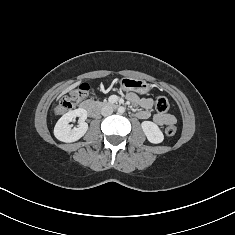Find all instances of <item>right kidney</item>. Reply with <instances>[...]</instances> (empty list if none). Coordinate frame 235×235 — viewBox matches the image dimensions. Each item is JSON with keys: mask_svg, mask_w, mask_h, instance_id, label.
I'll return each mask as SVG.
<instances>
[{"mask_svg": "<svg viewBox=\"0 0 235 235\" xmlns=\"http://www.w3.org/2000/svg\"><path fill=\"white\" fill-rule=\"evenodd\" d=\"M79 117L78 128H73L69 123ZM87 119V111L83 108H78L64 114L56 123L54 127L55 137L66 143L75 142L79 140L88 130V124L85 122Z\"/></svg>", "mask_w": 235, "mask_h": 235, "instance_id": "1", "label": "right kidney"}]
</instances>
